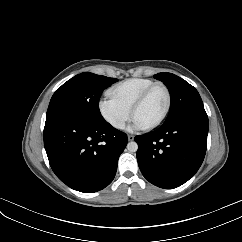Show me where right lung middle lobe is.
I'll return each mask as SVG.
<instances>
[{"label": "right lung middle lobe", "instance_id": "dd1d6c3e", "mask_svg": "<svg viewBox=\"0 0 242 242\" xmlns=\"http://www.w3.org/2000/svg\"><path fill=\"white\" fill-rule=\"evenodd\" d=\"M117 81L116 78L84 72L68 80L53 94L46 121L58 117H80L105 121L99 111L102 91Z\"/></svg>", "mask_w": 242, "mask_h": 242}]
</instances>
